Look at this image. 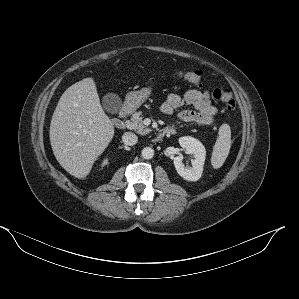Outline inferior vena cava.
I'll return each instance as SVG.
<instances>
[{
	"instance_id": "inferior-vena-cava-1",
	"label": "inferior vena cava",
	"mask_w": 299,
	"mask_h": 299,
	"mask_svg": "<svg viewBox=\"0 0 299 299\" xmlns=\"http://www.w3.org/2000/svg\"><path fill=\"white\" fill-rule=\"evenodd\" d=\"M122 141L124 144L132 146L138 142V137L132 132H125L122 136Z\"/></svg>"
}]
</instances>
